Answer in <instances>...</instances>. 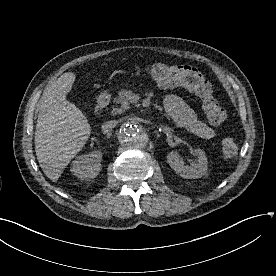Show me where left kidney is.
Instances as JSON below:
<instances>
[{"label": "left kidney", "instance_id": "1", "mask_svg": "<svg viewBox=\"0 0 276 276\" xmlns=\"http://www.w3.org/2000/svg\"><path fill=\"white\" fill-rule=\"evenodd\" d=\"M193 154L197 157L190 166H186L180 158L177 151H171L167 155L169 166L181 177L186 179H197L204 176L208 169V161L205 152L202 149L193 150Z\"/></svg>", "mask_w": 276, "mask_h": 276}]
</instances>
